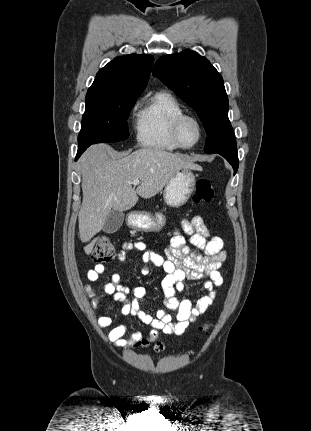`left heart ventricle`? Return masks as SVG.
<instances>
[{
	"instance_id": "obj_1",
	"label": "left heart ventricle",
	"mask_w": 311,
	"mask_h": 431,
	"mask_svg": "<svg viewBox=\"0 0 311 431\" xmlns=\"http://www.w3.org/2000/svg\"><path fill=\"white\" fill-rule=\"evenodd\" d=\"M181 135L186 144H193L200 135V128L197 121L193 118L186 119L181 127Z\"/></svg>"
}]
</instances>
